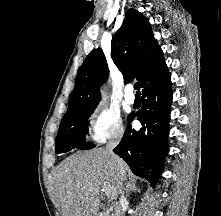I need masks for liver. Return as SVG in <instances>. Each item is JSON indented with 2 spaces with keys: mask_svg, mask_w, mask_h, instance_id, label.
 <instances>
[{
  "mask_svg": "<svg viewBox=\"0 0 221 216\" xmlns=\"http://www.w3.org/2000/svg\"><path fill=\"white\" fill-rule=\"evenodd\" d=\"M122 164L123 180L116 159L104 149L78 152L62 161L56 169L61 216H97L100 190H110L114 199L124 193L128 168Z\"/></svg>",
  "mask_w": 221,
  "mask_h": 216,
  "instance_id": "obj_1",
  "label": "liver"
}]
</instances>
